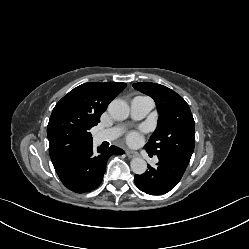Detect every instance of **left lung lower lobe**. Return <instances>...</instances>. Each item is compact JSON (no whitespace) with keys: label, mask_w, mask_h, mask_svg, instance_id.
I'll use <instances>...</instances> for the list:
<instances>
[{"label":"left lung lower lobe","mask_w":249,"mask_h":249,"mask_svg":"<svg viewBox=\"0 0 249 249\" xmlns=\"http://www.w3.org/2000/svg\"><path fill=\"white\" fill-rule=\"evenodd\" d=\"M157 156L159 159L157 167L153 168L148 165V171L142 175L134 176L136 186L141 191L151 195H162L173 189L189 164L188 161L180 158L167 155Z\"/></svg>","instance_id":"left-lung-lower-lobe-1"}]
</instances>
